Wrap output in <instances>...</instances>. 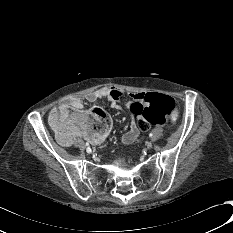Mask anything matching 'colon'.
Returning a JSON list of instances; mask_svg holds the SVG:
<instances>
[{
  "label": "colon",
  "mask_w": 233,
  "mask_h": 233,
  "mask_svg": "<svg viewBox=\"0 0 233 233\" xmlns=\"http://www.w3.org/2000/svg\"><path fill=\"white\" fill-rule=\"evenodd\" d=\"M127 112L132 117H140L137 125L141 131H147L151 126H162L166 123L174 124L178 119L174 100L160 93H139L127 102ZM72 112L67 105L56 108L50 116V123L57 134L66 133L69 128L75 127L93 135L102 132L111 122V117L100 108L93 111H84L74 117L72 126L65 121Z\"/></svg>",
  "instance_id": "obj_1"
}]
</instances>
